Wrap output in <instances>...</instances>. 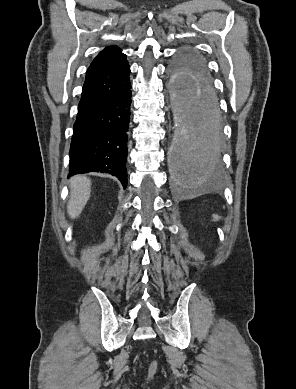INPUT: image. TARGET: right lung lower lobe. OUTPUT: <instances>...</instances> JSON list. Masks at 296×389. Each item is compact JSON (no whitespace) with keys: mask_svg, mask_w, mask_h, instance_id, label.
I'll return each mask as SVG.
<instances>
[{"mask_svg":"<svg viewBox=\"0 0 296 389\" xmlns=\"http://www.w3.org/2000/svg\"><path fill=\"white\" fill-rule=\"evenodd\" d=\"M131 84L119 93L78 107L70 147L69 176L110 173L127 186Z\"/></svg>","mask_w":296,"mask_h":389,"instance_id":"obj_1","label":"right lung lower lobe"}]
</instances>
